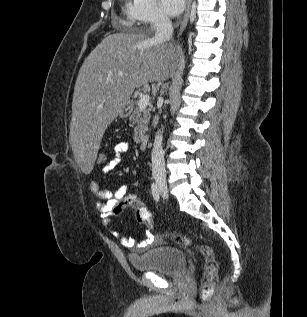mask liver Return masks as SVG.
<instances>
[{
	"instance_id": "liver-1",
	"label": "liver",
	"mask_w": 307,
	"mask_h": 317,
	"mask_svg": "<svg viewBox=\"0 0 307 317\" xmlns=\"http://www.w3.org/2000/svg\"><path fill=\"white\" fill-rule=\"evenodd\" d=\"M176 60L175 49L142 31L108 35L89 54L75 83L70 127L83 175H92L101 139L120 105L135 88L166 80Z\"/></svg>"
}]
</instances>
